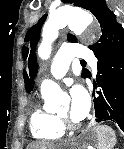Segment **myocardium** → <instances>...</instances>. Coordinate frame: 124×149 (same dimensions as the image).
Masks as SVG:
<instances>
[{"mask_svg": "<svg viewBox=\"0 0 124 149\" xmlns=\"http://www.w3.org/2000/svg\"><path fill=\"white\" fill-rule=\"evenodd\" d=\"M57 117L64 129H75L80 125L77 121H74L67 116L58 114Z\"/></svg>", "mask_w": 124, "mask_h": 149, "instance_id": "myocardium-1", "label": "myocardium"}]
</instances>
